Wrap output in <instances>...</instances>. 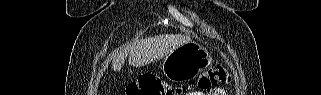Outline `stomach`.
<instances>
[{
    "instance_id": "stomach-1",
    "label": "stomach",
    "mask_w": 321,
    "mask_h": 95,
    "mask_svg": "<svg viewBox=\"0 0 321 95\" xmlns=\"http://www.w3.org/2000/svg\"><path fill=\"white\" fill-rule=\"evenodd\" d=\"M212 58L206 48L195 42L186 43L169 53L162 64L167 80L183 82L198 76L212 64Z\"/></svg>"
}]
</instances>
